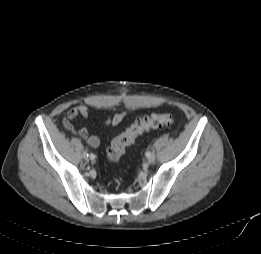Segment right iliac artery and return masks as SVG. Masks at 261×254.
Listing matches in <instances>:
<instances>
[{
  "label": "right iliac artery",
  "mask_w": 261,
  "mask_h": 254,
  "mask_svg": "<svg viewBox=\"0 0 261 254\" xmlns=\"http://www.w3.org/2000/svg\"><path fill=\"white\" fill-rule=\"evenodd\" d=\"M87 156H89L91 160L95 159V155L94 154H90V155L87 154Z\"/></svg>",
  "instance_id": "82829eb1"
}]
</instances>
